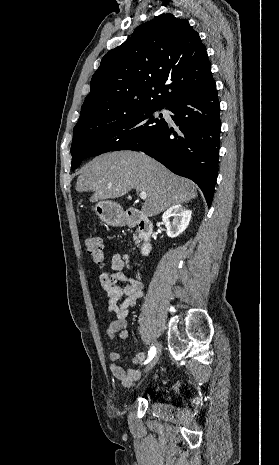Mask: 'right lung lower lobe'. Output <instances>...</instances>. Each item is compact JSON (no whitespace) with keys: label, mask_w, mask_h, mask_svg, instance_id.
Returning a JSON list of instances; mask_svg holds the SVG:
<instances>
[{"label":"right lung lower lobe","mask_w":279,"mask_h":465,"mask_svg":"<svg viewBox=\"0 0 279 465\" xmlns=\"http://www.w3.org/2000/svg\"><path fill=\"white\" fill-rule=\"evenodd\" d=\"M179 127L166 126L151 143L122 150H139L177 175L193 180L202 190L208 207L212 203L218 173L220 106L213 77L201 87L166 106Z\"/></svg>","instance_id":"98d812e1"}]
</instances>
